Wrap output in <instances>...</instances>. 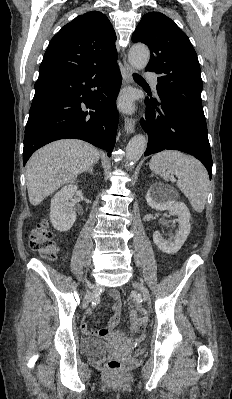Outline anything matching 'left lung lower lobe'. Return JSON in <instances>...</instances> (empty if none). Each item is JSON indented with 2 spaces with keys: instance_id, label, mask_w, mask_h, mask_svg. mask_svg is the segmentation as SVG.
<instances>
[{
  "instance_id": "obj_1",
  "label": "left lung lower lobe",
  "mask_w": 232,
  "mask_h": 399,
  "mask_svg": "<svg viewBox=\"0 0 232 399\" xmlns=\"http://www.w3.org/2000/svg\"><path fill=\"white\" fill-rule=\"evenodd\" d=\"M148 112L140 124L148 134L145 156L163 150H178L199 159L212 177V157L206 122L165 96L146 98Z\"/></svg>"
}]
</instances>
